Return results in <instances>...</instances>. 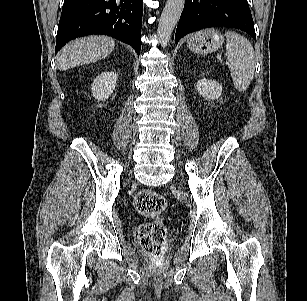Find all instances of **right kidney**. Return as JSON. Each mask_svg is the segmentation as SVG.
Segmentation results:
<instances>
[{
    "mask_svg": "<svg viewBox=\"0 0 307 301\" xmlns=\"http://www.w3.org/2000/svg\"><path fill=\"white\" fill-rule=\"evenodd\" d=\"M118 75L116 72H102L92 83L91 91L95 99H107L116 87Z\"/></svg>",
    "mask_w": 307,
    "mask_h": 301,
    "instance_id": "1",
    "label": "right kidney"
}]
</instances>
